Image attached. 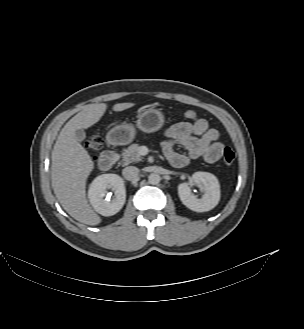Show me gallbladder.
<instances>
[{"mask_svg":"<svg viewBox=\"0 0 304 329\" xmlns=\"http://www.w3.org/2000/svg\"><path fill=\"white\" fill-rule=\"evenodd\" d=\"M85 132L82 129H78L75 132V138L78 142H82L85 139Z\"/></svg>","mask_w":304,"mask_h":329,"instance_id":"gallbladder-1","label":"gallbladder"}]
</instances>
